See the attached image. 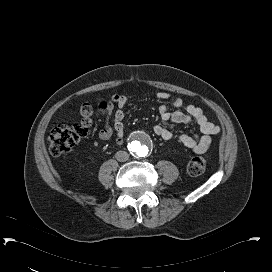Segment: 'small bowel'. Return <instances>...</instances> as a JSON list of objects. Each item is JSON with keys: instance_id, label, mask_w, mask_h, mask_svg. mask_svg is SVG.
I'll use <instances>...</instances> for the list:
<instances>
[{"instance_id": "c3829d8e", "label": "small bowel", "mask_w": 272, "mask_h": 272, "mask_svg": "<svg viewBox=\"0 0 272 272\" xmlns=\"http://www.w3.org/2000/svg\"><path fill=\"white\" fill-rule=\"evenodd\" d=\"M127 95L116 94L113 95L109 101V110L113 105L116 106V111L113 116V128L105 126L100 132V137L103 140H108L114 133L115 142L122 144L124 142V113L123 108L128 101ZM159 100L172 99V106L176 109L180 108L182 101L178 97H174L167 92H160L157 94ZM161 123L154 127V133L156 136L164 139L171 140L174 138L172 131L169 128L171 123L189 124L191 118H193L199 125L201 136H191L187 134H181L178 136V140L187 148L191 149L194 153H204L211 141V135L219 131V127L210 122L205 115L204 111L196 104L190 103L186 106V113L181 111H172L166 105H162L159 108Z\"/></svg>"}]
</instances>
